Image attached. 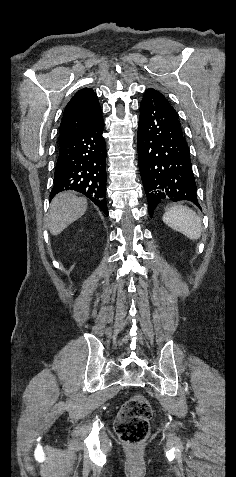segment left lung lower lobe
Wrapping results in <instances>:
<instances>
[{
	"instance_id": "left-lung-lower-lobe-1",
	"label": "left lung lower lobe",
	"mask_w": 236,
	"mask_h": 477,
	"mask_svg": "<svg viewBox=\"0 0 236 477\" xmlns=\"http://www.w3.org/2000/svg\"><path fill=\"white\" fill-rule=\"evenodd\" d=\"M137 146L151 217L163 200H186L199 206L189 147L178 115L164 95L152 88L146 90L140 105Z\"/></svg>"
}]
</instances>
